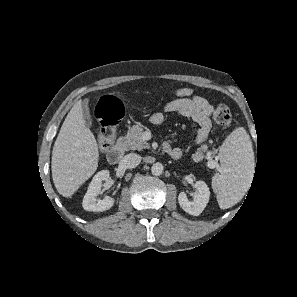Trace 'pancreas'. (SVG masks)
<instances>
[{"label":"pancreas","mask_w":297,"mask_h":297,"mask_svg":"<svg viewBox=\"0 0 297 297\" xmlns=\"http://www.w3.org/2000/svg\"><path fill=\"white\" fill-rule=\"evenodd\" d=\"M143 128L139 125H135L127 133L125 137H121L118 140V145L124 150H143L149 148L150 145L142 138ZM200 156L197 154L196 159Z\"/></svg>","instance_id":"pancreas-1"}]
</instances>
